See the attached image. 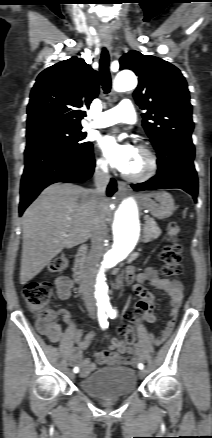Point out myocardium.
<instances>
[{"label": "myocardium", "instance_id": "obj_1", "mask_svg": "<svg viewBox=\"0 0 212 438\" xmlns=\"http://www.w3.org/2000/svg\"><path fill=\"white\" fill-rule=\"evenodd\" d=\"M138 152L143 154L147 159V167L145 171L140 174L124 172L123 176L132 182H145L156 176L159 170V161L157 156L150 149L144 146H140L138 148Z\"/></svg>", "mask_w": 212, "mask_h": 438}]
</instances>
